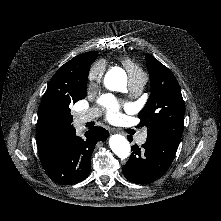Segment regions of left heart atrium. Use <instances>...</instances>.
Returning a JSON list of instances; mask_svg holds the SVG:
<instances>
[{
    "instance_id": "left-heart-atrium-1",
    "label": "left heart atrium",
    "mask_w": 221,
    "mask_h": 221,
    "mask_svg": "<svg viewBox=\"0 0 221 221\" xmlns=\"http://www.w3.org/2000/svg\"><path fill=\"white\" fill-rule=\"evenodd\" d=\"M99 102L106 108L109 120H115L119 116V105L113 97L108 95L102 96Z\"/></svg>"
}]
</instances>
